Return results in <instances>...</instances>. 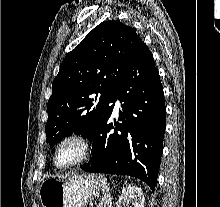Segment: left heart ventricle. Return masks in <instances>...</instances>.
Masks as SVG:
<instances>
[{"mask_svg": "<svg viewBox=\"0 0 220 207\" xmlns=\"http://www.w3.org/2000/svg\"><path fill=\"white\" fill-rule=\"evenodd\" d=\"M79 154V147L74 143H68L64 145L57 156V161L59 163H67L72 161Z\"/></svg>", "mask_w": 220, "mask_h": 207, "instance_id": "obj_1", "label": "left heart ventricle"}]
</instances>
